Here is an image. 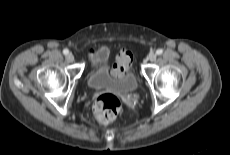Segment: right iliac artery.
Wrapping results in <instances>:
<instances>
[{
  "instance_id": "obj_1",
  "label": "right iliac artery",
  "mask_w": 230,
  "mask_h": 155,
  "mask_svg": "<svg viewBox=\"0 0 230 155\" xmlns=\"http://www.w3.org/2000/svg\"><path fill=\"white\" fill-rule=\"evenodd\" d=\"M68 53H69V50H68V49H64V50H63V54H64V55H67Z\"/></svg>"
}]
</instances>
